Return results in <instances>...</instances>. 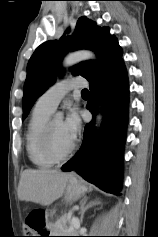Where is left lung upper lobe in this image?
<instances>
[{"label": "left lung upper lobe", "mask_w": 158, "mask_h": 237, "mask_svg": "<svg viewBox=\"0 0 158 237\" xmlns=\"http://www.w3.org/2000/svg\"><path fill=\"white\" fill-rule=\"evenodd\" d=\"M69 32L68 29L67 33ZM79 49L94 51L101 61V67L91 60L72 67L73 75H81L89 82L100 79V69L105 75L122 57V50L116 37L109 33V28H101L85 16L81 17L72 38L62 36L59 41L44 42L31 56L24 84L23 118L27 117L37 98L55 81L63 56L68 50ZM59 73L61 74L60 70Z\"/></svg>", "instance_id": "obj_1"}]
</instances>
